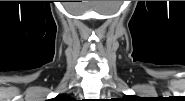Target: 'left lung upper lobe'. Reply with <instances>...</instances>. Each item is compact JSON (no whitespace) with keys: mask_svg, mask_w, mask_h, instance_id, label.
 <instances>
[{"mask_svg":"<svg viewBox=\"0 0 185 101\" xmlns=\"http://www.w3.org/2000/svg\"><path fill=\"white\" fill-rule=\"evenodd\" d=\"M126 99L132 100V99H134V98H131V97H127Z\"/></svg>","mask_w":185,"mask_h":101,"instance_id":"obj_1","label":"left lung upper lobe"}]
</instances>
